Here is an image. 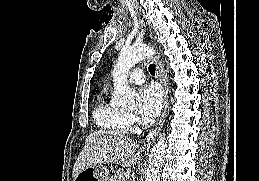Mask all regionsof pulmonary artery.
Here are the masks:
<instances>
[{
    "label": "pulmonary artery",
    "mask_w": 259,
    "mask_h": 181,
    "mask_svg": "<svg viewBox=\"0 0 259 181\" xmlns=\"http://www.w3.org/2000/svg\"><path fill=\"white\" fill-rule=\"evenodd\" d=\"M144 80L145 79L142 71H135L129 77V81L132 84H142Z\"/></svg>",
    "instance_id": "obj_1"
}]
</instances>
